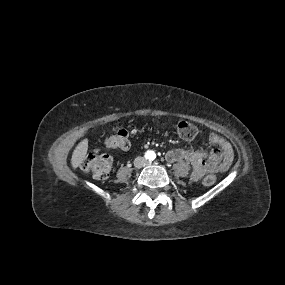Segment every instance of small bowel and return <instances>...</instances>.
I'll return each instance as SVG.
<instances>
[{
  "instance_id": "small-bowel-1",
  "label": "small bowel",
  "mask_w": 285,
  "mask_h": 285,
  "mask_svg": "<svg viewBox=\"0 0 285 285\" xmlns=\"http://www.w3.org/2000/svg\"><path fill=\"white\" fill-rule=\"evenodd\" d=\"M209 143L215 148L211 151H194L182 148L167 152L166 158L170 162L187 161L192 165V178L200 179L209 171H227L233 160V151L230 143L216 135L209 136Z\"/></svg>"
}]
</instances>
